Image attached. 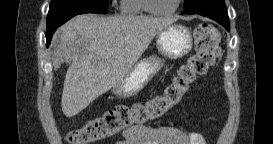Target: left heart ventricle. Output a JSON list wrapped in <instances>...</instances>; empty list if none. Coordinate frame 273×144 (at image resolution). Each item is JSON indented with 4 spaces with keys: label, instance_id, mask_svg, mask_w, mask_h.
I'll return each instance as SVG.
<instances>
[{
    "label": "left heart ventricle",
    "instance_id": "left-heart-ventricle-1",
    "mask_svg": "<svg viewBox=\"0 0 273 144\" xmlns=\"http://www.w3.org/2000/svg\"><path fill=\"white\" fill-rule=\"evenodd\" d=\"M176 3V0H155L153 1V5L158 10H169Z\"/></svg>",
    "mask_w": 273,
    "mask_h": 144
}]
</instances>
